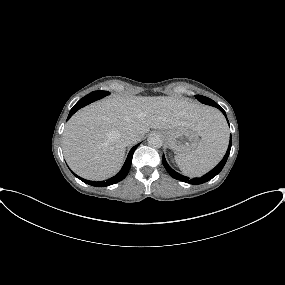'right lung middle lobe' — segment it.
Here are the masks:
<instances>
[{
    "instance_id": "right-lung-middle-lobe-1",
    "label": "right lung middle lobe",
    "mask_w": 285,
    "mask_h": 285,
    "mask_svg": "<svg viewBox=\"0 0 285 285\" xmlns=\"http://www.w3.org/2000/svg\"><path fill=\"white\" fill-rule=\"evenodd\" d=\"M110 93L108 91H94L90 94L83 97V99L92 98V97H98L96 100L103 98L104 96L109 95Z\"/></svg>"
}]
</instances>
